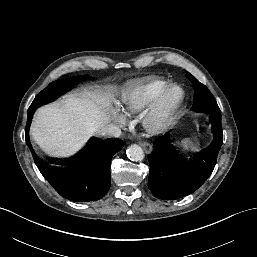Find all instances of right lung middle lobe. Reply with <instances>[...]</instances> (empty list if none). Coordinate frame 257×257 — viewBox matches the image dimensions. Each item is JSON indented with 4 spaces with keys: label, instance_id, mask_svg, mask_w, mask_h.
<instances>
[{
    "label": "right lung middle lobe",
    "instance_id": "obj_1",
    "mask_svg": "<svg viewBox=\"0 0 257 257\" xmlns=\"http://www.w3.org/2000/svg\"><path fill=\"white\" fill-rule=\"evenodd\" d=\"M87 79V77H73L65 80H58L50 83L44 90H42L34 99L31 106L28 109V113L32 114L34 110L47 102L54 100L57 96L64 91L69 90L74 84Z\"/></svg>",
    "mask_w": 257,
    "mask_h": 257
}]
</instances>
